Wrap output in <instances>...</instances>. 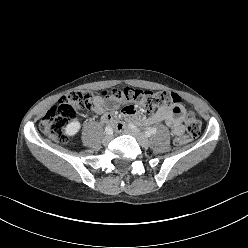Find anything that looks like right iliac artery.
<instances>
[{
  "mask_svg": "<svg viewBox=\"0 0 248 248\" xmlns=\"http://www.w3.org/2000/svg\"><path fill=\"white\" fill-rule=\"evenodd\" d=\"M105 132H106V134H108V135H111V134L113 133L112 128H111L110 126H107V127L105 128Z\"/></svg>",
  "mask_w": 248,
  "mask_h": 248,
  "instance_id": "82829eb1",
  "label": "right iliac artery"
}]
</instances>
